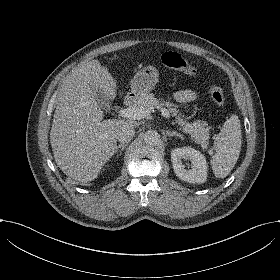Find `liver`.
Masks as SVG:
<instances>
[{
    "mask_svg": "<svg viewBox=\"0 0 280 280\" xmlns=\"http://www.w3.org/2000/svg\"><path fill=\"white\" fill-rule=\"evenodd\" d=\"M92 88L116 97V82L98 60H92L66 76L57 94L50 143L57 165L69 177L87 183L97 178L114 155L117 131L137 127L133 119L103 120L101 106ZM129 97V94H128ZM134 100L145 95L135 93Z\"/></svg>",
    "mask_w": 280,
    "mask_h": 280,
    "instance_id": "liver-1",
    "label": "liver"
}]
</instances>
